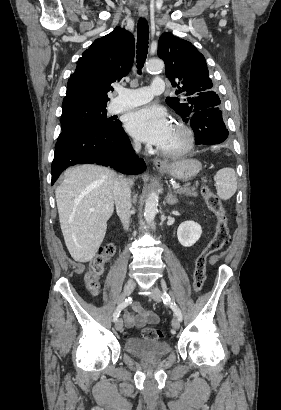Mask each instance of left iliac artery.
<instances>
[{
    "label": "left iliac artery",
    "mask_w": 281,
    "mask_h": 410,
    "mask_svg": "<svg viewBox=\"0 0 281 410\" xmlns=\"http://www.w3.org/2000/svg\"><path fill=\"white\" fill-rule=\"evenodd\" d=\"M162 299L165 304H168L175 315L179 318V320H182V313L175 301L173 300V295L172 293H168L166 291L163 292L162 294Z\"/></svg>",
    "instance_id": "obj_1"
}]
</instances>
